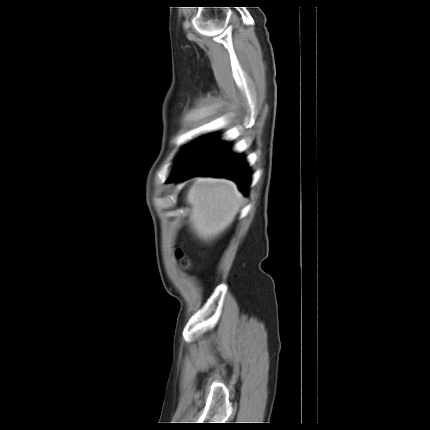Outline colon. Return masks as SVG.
Returning <instances> with one entry per match:
<instances>
[{
	"instance_id": "1",
	"label": "colon",
	"mask_w": 430,
	"mask_h": 430,
	"mask_svg": "<svg viewBox=\"0 0 430 430\" xmlns=\"http://www.w3.org/2000/svg\"><path fill=\"white\" fill-rule=\"evenodd\" d=\"M178 258H179V262L180 265L183 269H188L190 266V261L188 258H186L185 256H183L182 253H178Z\"/></svg>"
}]
</instances>
